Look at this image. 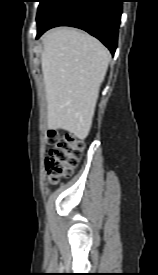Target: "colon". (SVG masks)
<instances>
[{
    "label": "colon",
    "mask_w": 158,
    "mask_h": 275,
    "mask_svg": "<svg viewBox=\"0 0 158 275\" xmlns=\"http://www.w3.org/2000/svg\"><path fill=\"white\" fill-rule=\"evenodd\" d=\"M48 156L45 161L48 179L52 183L69 176L77 166L83 151V142L73 133L62 136L57 131L48 132Z\"/></svg>",
    "instance_id": "5ec220e1"
}]
</instances>
